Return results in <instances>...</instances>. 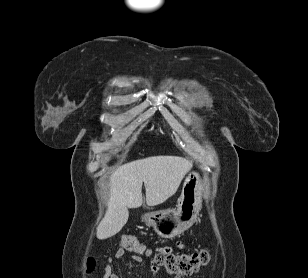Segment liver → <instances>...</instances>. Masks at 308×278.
I'll return each mask as SVG.
<instances>
[{"instance_id":"liver-1","label":"liver","mask_w":308,"mask_h":278,"mask_svg":"<svg viewBox=\"0 0 308 278\" xmlns=\"http://www.w3.org/2000/svg\"><path fill=\"white\" fill-rule=\"evenodd\" d=\"M191 166V161L178 156H153L119 166L110 176L107 211L97 227V238L107 239L123 228L128 208H138L143 203V183L146 204H162L176 193Z\"/></svg>"}]
</instances>
